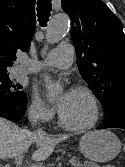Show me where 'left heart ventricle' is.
<instances>
[{
    "instance_id": "obj_1",
    "label": "left heart ventricle",
    "mask_w": 125,
    "mask_h": 167,
    "mask_svg": "<svg viewBox=\"0 0 125 167\" xmlns=\"http://www.w3.org/2000/svg\"><path fill=\"white\" fill-rule=\"evenodd\" d=\"M93 112L92 103L85 94L71 91L60 113L67 123L73 126H84L91 121Z\"/></svg>"
}]
</instances>
